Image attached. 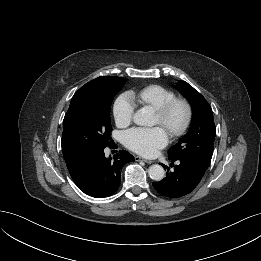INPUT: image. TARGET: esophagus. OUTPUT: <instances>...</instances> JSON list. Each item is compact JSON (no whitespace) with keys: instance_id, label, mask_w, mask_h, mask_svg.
<instances>
[{"instance_id":"obj_1","label":"esophagus","mask_w":261,"mask_h":261,"mask_svg":"<svg viewBox=\"0 0 261 261\" xmlns=\"http://www.w3.org/2000/svg\"><path fill=\"white\" fill-rule=\"evenodd\" d=\"M135 161H144V162L149 163V164L152 163L151 160L144 159L140 156H135Z\"/></svg>"}]
</instances>
